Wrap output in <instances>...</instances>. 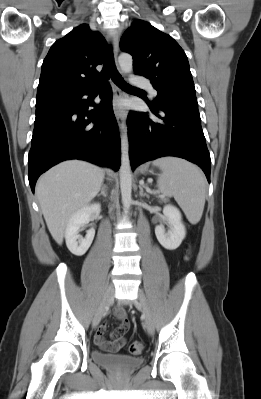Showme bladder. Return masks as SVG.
<instances>
[{
  "label": "bladder",
  "mask_w": 261,
  "mask_h": 399,
  "mask_svg": "<svg viewBox=\"0 0 261 399\" xmlns=\"http://www.w3.org/2000/svg\"><path fill=\"white\" fill-rule=\"evenodd\" d=\"M91 356L94 362L104 368L122 373L132 372L144 362L141 357H132L121 353L106 354L97 350L92 351Z\"/></svg>",
  "instance_id": "obj_1"
}]
</instances>
